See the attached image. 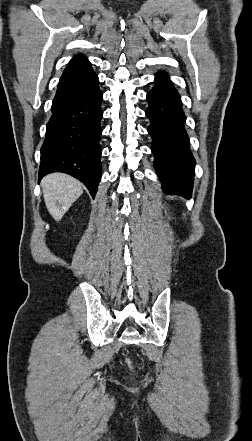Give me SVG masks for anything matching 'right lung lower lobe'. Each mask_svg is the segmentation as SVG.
<instances>
[{"label":"right lung lower lobe","instance_id":"98d812e1","mask_svg":"<svg viewBox=\"0 0 252 441\" xmlns=\"http://www.w3.org/2000/svg\"><path fill=\"white\" fill-rule=\"evenodd\" d=\"M86 60L65 69L52 103L41 147L39 179L52 172L67 173L94 197L101 179L100 120L103 95Z\"/></svg>","mask_w":252,"mask_h":441}]
</instances>
